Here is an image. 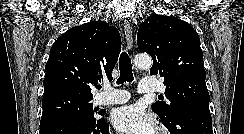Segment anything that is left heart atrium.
<instances>
[{
    "mask_svg": "<svg viewBox=\"0 0 244 134\" xmlns=\"http://www.w3.org/2000/svg\"><path fill=\"white\" fill-rule=\"evenodd\" d=\"M111 121L122 134H155L153 118L136 104L117 108Z\"/></svg>",
    "mask_w": 244,
    "mask_h": 134,
    "instance_id": "obj_1",
    "label": "left heart atrium"
}]
</instances>
